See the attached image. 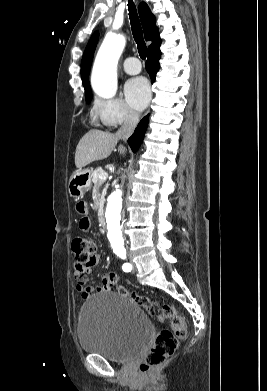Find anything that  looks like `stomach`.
<instances>
[{
    "mask_svg": "<svg viewBox=\"0 0 267 391\" xmlns=\"http://www.w3.org/2000/svg\"><path fill=\"white\" fill-rule=\"evenodd\" d=\"M92 172L89 169H79L73 173L69 180L68 192L69 195L78 200L91 189Z\"/></svg>",
    "mask_w": 267,
    "mask_h": 391,
    "instance_id": "0dacf381",
    "label": "stomach"
}]
</instances>
